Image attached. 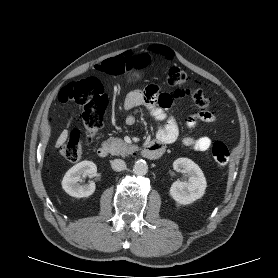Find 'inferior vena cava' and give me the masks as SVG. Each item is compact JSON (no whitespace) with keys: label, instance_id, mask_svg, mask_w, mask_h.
Here are the masks:
<instances>
[{"label":"inferior vena cava","instance_id":"602c4592","mask_svg":"<svg viewBox=\"0 0 278 278\" xmlns=\"http://www.w3.org/2000/svg\"><path fill=\"white\" fill-rule=\"evenodd\" d=\"M111 167L114 171H122L126 169V163L124 160L114 159L113 161H111Z\"/></svg>","mask_w":278,"mask_h":278}]
</instances>
